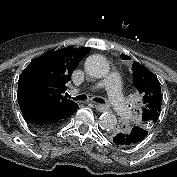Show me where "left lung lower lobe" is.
Returning <instances> with one entry per match:
<instances>
[{
  "mask_svg": "<svg viewBox=\"0 0 177 177\" xmlns=\"http://www.w3.org/2000/svg\"><path fill=\"white\" fill-rule=\"evenodd\" d=\"M148 131L140 126H133L128 129L119 128L109 133L110 139L119 146H135L142 142Z\"/></svg>",
  "mask_w": 177,
  "mask_h": 177,
  "instance_id": "left-lung-lower-lobe-1",
  "label": "left lung lower lobe"
}]
</instances>
